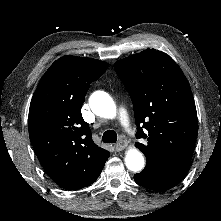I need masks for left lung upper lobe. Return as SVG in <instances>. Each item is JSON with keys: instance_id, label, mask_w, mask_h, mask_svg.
Segmentation results:
<instances>
[{"instance_id": "1", "label": "left lung upper lobe", "mask_w": 221, "mask_h": 221, "mask_svg": "<svg viewBox=\"0 0 221 221\" xmlns=\"http://www.w3.org/2000/svg\"><path fill=\"white\" fill-rule=\"evenodd\" d=\"M130 94L137 142L147 159L144 170L186 172L198 134L190 85L175 61L164 52L146 49L114 64Z\"/></svg>"}]
</instances>
